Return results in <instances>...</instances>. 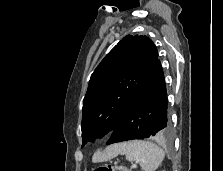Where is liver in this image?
<instances>
[{"instance_id": "1", "label": "liver", "mask_w": 223, "mask_h": 171, "mask_svg": "<svg viewBox=\"0 0 223 171\" xmlns=\"http://www.w3.org/2000/svg\"><path fill=\"white\" fill-rule=\"evenodd\" d=\"M123 144H115L106 148L103 152L94 154L92 161L96 162H104L108 161L114 157H116L123 150Z\"/></svg>"}]
</instances>
